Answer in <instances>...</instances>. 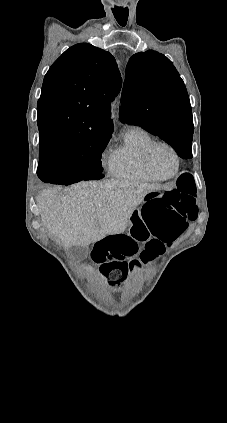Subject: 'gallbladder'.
Returning a JSON list of instances; mask_svg holds the SVG:
<instances>
[{
    "instance_id": "obj_1",
    "label": "gallbladder",
    "mask_w": 227,
    "mask_h": 423,
    "mask_svg": "<svg viewBox=\"0 0 227 423\" xmlns=\"http://www.w3.org/2000/svg\"><path fill=\"white\" fill-rule=\"evenodd\" d=\"M71 255H74L75 259H80V261H83V259H86L89 251L88 245H72L69 249Z\"/></svg>"
}]
</instances>
